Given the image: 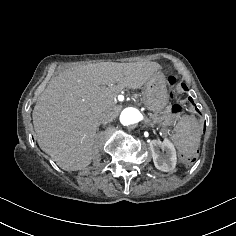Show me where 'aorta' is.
Instances as JSON below:
<instances>
[{"instance_id":"obj_1","label":"aorta","mask_w":236,"mask_h":236,"mask_svg":"<svg viewBox=\"0 0 236 236\" xmlns=\"http://www.w3.org/2000/svg\"><path fill=\"white\" fill-rule=\"evenodd\" d=\"M142 118L140 111L133 107L125 108L120 114V122L124 126L138 123Z\"/></svg>"}]
</instances>
